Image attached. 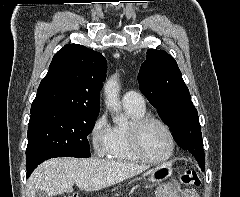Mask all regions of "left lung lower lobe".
Returning <instances> with one entry per match:
<instances>
[{
  "label": "left lung lower lobe",
  "mask_w": 240,
  "mask_h": 197,
  "mask_svg": "<svg viewBox=\"0 0 240 197\" xmlns=\"http://www.w3.org/2000/svg\"><path fill=\"white\" fill-rule=\"evenodd\" d=\"M199 166L201 167V170L204 171V162L199 163Z\"/></svg>",
  "instance_id": "1"
}]
</instances>
